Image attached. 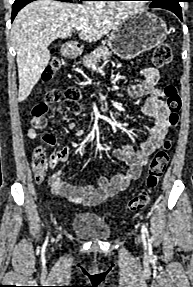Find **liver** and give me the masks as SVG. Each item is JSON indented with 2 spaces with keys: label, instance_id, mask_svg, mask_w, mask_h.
I'll return each instance as SVG.
<instances>
[{
  "label": "liver",
  "instance_id": "1",
  "mask_svg": "<svg viewBox=\"0 0 193 287\" xmlns=\"http://www.w3.org/2000/svg\"><path fill=\"white\" fill-rule=\"evenodd\" d=\"M130 15L53 0H36L26 5L12 26L19 75L18 101L25 100L40 79L50 60L48 46L52 41L67 39L76 26H83L79 38L95 42Z\"/></svg>",
  "mask_w": 193,
  "mask_h": 287
}]
</instances>
